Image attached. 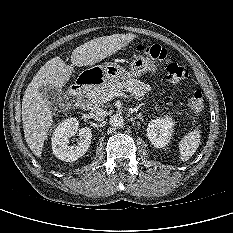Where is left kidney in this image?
Listing matches in <instances>:
<instances>
[{"mask_svg": "<svg viewBox=\"0 0 233 233\" xmlns=\"http://www.w3.org/2000/svg\"><path fill=\"white\" fill-rule=\"evenodd\" d=\"M173 127L171 117L156 118L148 124L147 137L156 148H163L171 140Z\"/></svg>", "mask_w": 233, "mask_h": 233, "instance_id": "left-kidney-1", "label": "left kidney"}]
</instances>
